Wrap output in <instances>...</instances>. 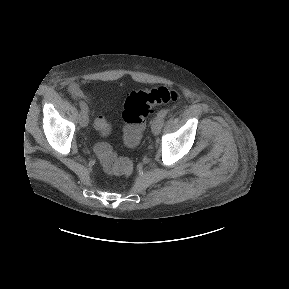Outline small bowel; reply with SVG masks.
I'll return each instance as SVG.
<instances>
[{
	"label": "small bowel",
	"instance_id": "obj_1",
	"mask_svg": "<svg viewBox=\"0 0 289 289\" xmlns=\"http://www.w3.org/2000/svg\"><path fill=\"white\" fill-rule=\"evenodd\" d=\"M69 94L74 98L85 99V94L76 83H71L68 87Z\"/></svg>",
	"mask_w": 289,
	"mask_h": 289
}]
</instances>
